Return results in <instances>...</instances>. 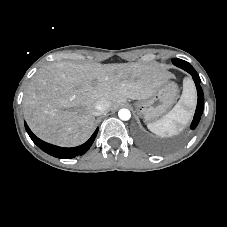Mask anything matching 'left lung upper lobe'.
<instances>
[{
  "mask_svg": "<svg viewBox=\"0 0 227 227\" xmlns=\"http://www.w3.org/2000/svg\"><path fill=\"white\" fill-rule=\"evenodd\" d=\"M177 61H178L177 58H174V59L172 60L173 63H174V62H177Z\"/></svg>",
  "mask_w": 227,
  "mask_h": 227,
  "instance_id": "obj_1",
  "label": "left lung upper lobe"
}]
</instances>
